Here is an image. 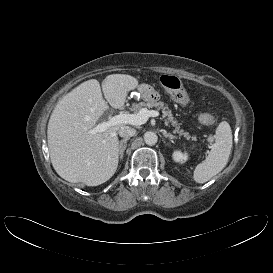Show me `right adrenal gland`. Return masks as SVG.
<instances>
[{"instance_id":"1","label":"right adrenal gland","mask_w":273,"mask_h":273,"mask_svg":"<svg viewBox=\"0 0 273 273\" xmlns=\"http://www.w3.org/2000/svg\"><path fill=\"white\" fill-rule=\"evenodd\" d=\"M129 140V138H125L123 140L120 141L119 143V155H120V159L123 158L124 155V151L127 147V141Z\"/></svg>"}]
</instances>
